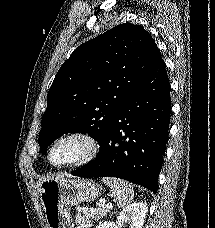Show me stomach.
<instances>
[{
  "label": "stomach",
  "mask_w": 215,
  "mask_h": 228,
  "mask_svg": "<svg viewBox=\"0 0 215 228\" xmlns=\"http://www.w3.org/2000/svg\"><path fill=\"white\" fill-rule=\"evenodd\" d=\"M101 192V186L93 180H46L41 186L40 196L47 228H71L70 206L93 202Z\"/></svg>",
  "instance_id": "obj_1"
}]
</instances>
